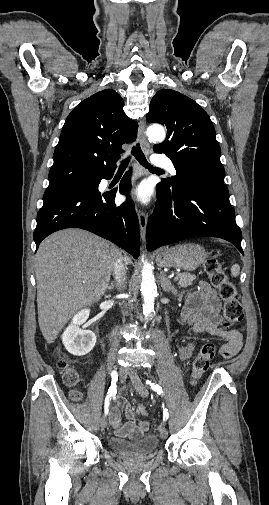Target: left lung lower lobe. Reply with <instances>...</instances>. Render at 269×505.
Wrapping results in <instances>:
<instances>
[{"label":"left lung lower lobe","mask_w":269,"mask_h":505,"mask_svg":"<svg viewBox=\"0 0 269 505\" xmlns=\"http://www.w3.org/2000/svg\"><path fill=\"white\" fill-rule=\"evenodd\" d=\"M157 207L147 225V249L155 250L187 238L219 237L244 255L241 230L235 221L224 182L190 178L173 191L157 185Z\"/></svg>","instance_id":"1"}]
</instances>
